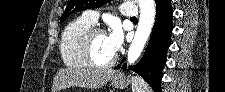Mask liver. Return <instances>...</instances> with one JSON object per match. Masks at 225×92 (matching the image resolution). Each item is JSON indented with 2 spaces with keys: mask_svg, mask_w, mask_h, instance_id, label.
<instances>
[{
  "mask_svg": "<svg viewBox=\"0 0 225 92\" xmlns=\"http://www.w3.org/2000/svg\"><path fill=\"white\" fill-rule=\"evenodd\" d=\"M115 72L106 69H59L53 79L52 92L70 87L98 89L103 87Z\"/></svg>",
  "mask_w": 225,
  "mask_h": 92,
  "instance_id": "liver-1",
  "label": "liver"
}]
</instances>
